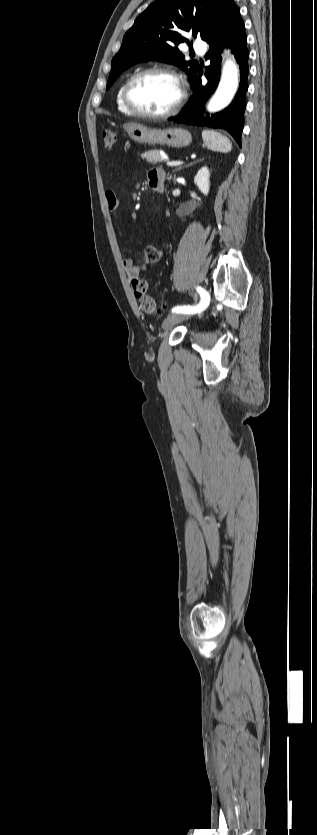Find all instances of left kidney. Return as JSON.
<instances>
[{
  "label": "left kidney",
  "instance_id": "1",
  "mask_svg": "<svg viewBox=\"0 0 317 835\" xmlns=\"http://www.w3.org/2000/svg\"><path fill=\"white\" fill-rule=\"evenodd\" d=\"M194 183L204 195H208L210 189V172L207 166L202 167L198 171L194 178Z\"/></svg>",
  "mask_w": 317,
  "mask_h": 835
}]
</instances>
